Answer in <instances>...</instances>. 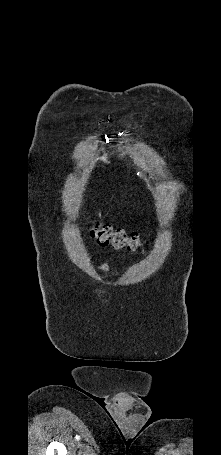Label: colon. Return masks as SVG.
<instances>
[{
  "label": "colon",
  "mask_w": 221,
  "mask_h": 455,
  "mask_svg": "<svg viewBox=\"0 0 221 455\" xmlns=\"http://www.w3.org/2000/svg\"><path fill=\"white\" fill-rule=\"evenodd\" d=\"M91 236L104 247L114 249H127L137 251L141 248V242L136 232H127L121 228H114L107 224L95 223L90 227Z\"/></svg>",
  "instance_id": "colon-1"
}]
</instances>
